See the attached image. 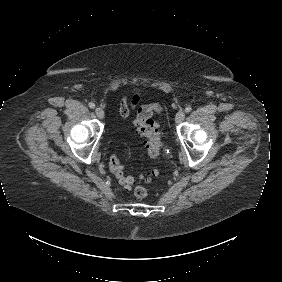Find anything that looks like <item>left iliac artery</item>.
Instances as JSON below:
<instances>
[{
  "label": "left iliac artery",
  "mask_w": 282,
  "mask_h": 282,
  "mask_svg": "<svg viewBox=\"0 0 282 282\" xmlns=\"http://www.w3.org/2000/svg\"><path fill=\"white\" fill-rule=\"evenodd\" d=\"M191 110H192V107H191V106H187V107L185 108V112H186V113H189Z\"/></svg>",
  "instance_id": "left-iliac-artery-1"
}]
</instances>
